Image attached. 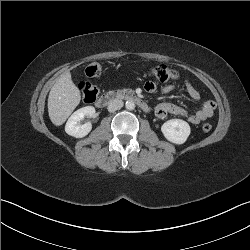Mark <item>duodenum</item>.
Returning <instances> with one entry per match:
<instances>
[{"label": "duodenum", "mask_w": 250, "mask_h": 250, "mask_svg": "<svg viewBox=\"0 0 250 250\" xmlns=\"http://www.w3.org/2000/svg\"><path fill=\"white\" fill-rule=\"evenodd\" d=\"M115 100H127L136 103L142 110L149 111L148 104L131 90H113L103 93L96 101V106L103 108Z\"/></svg>", "instance_id": "1"}]
</instances>
